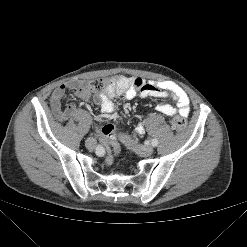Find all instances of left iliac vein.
I'll use <instances>...</instances> for the list:
<instances>
[{
	"mask_svg": "<svg viewBox=\"0 0 247 247\" xmlns=\"http://www.w3.org/2000/svg\"><path fill=\"white\" fill-rule=\"evenodd\" d=\"M120 139L126 146L133 149L140 156H150L154 152L153 147L138 144L126 135H121Z\"/></svg>",
	"mask_w": 247,
	"mask_h": 247,
	"instance_id": "4c4485c4",
	"label": "left iliac vein"
}]
</instances>
